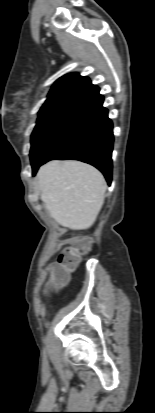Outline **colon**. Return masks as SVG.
I'll list each match as a JSON object with an SVG mask.
<instances>
[{"label":"colon","mask_w":155,"mask_h":413,"mask_svg":"<svg viewBox=\"0 0 155 413\" xmlns=\"http://www.w3.org/2000/svg\"><path fill=\"white\" fill-rule=\"evenodd\" d=\"M91 247V241L76 240L70 243L60 254L56 264L51 268L52 287L55 290L61 288L68 276L78 265L81 257Z\"/></svg>","instance_id":"1"}]
</instances>
